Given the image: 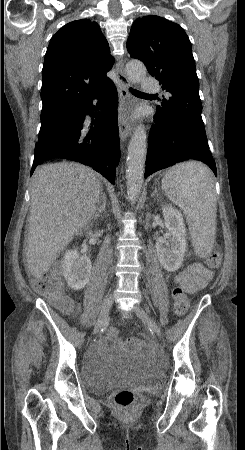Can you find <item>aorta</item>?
<instances>
[{
    "instance_id": "1",
    "label": "aorta",
    "mask_w": 245,
    "mask_h": 450,
    "mask_svg": "<svg viewBox=\"0 0 245 450\" xmlns=\"http://www.w3.org/2000/svg\"><path fill=\"white\" fill-rule=\"evenodd\" d=\"M145 65L136 60L126 64V75L132 83H139L146 76ZM147 135L143 125H139L132 136L128 149L126 170L127 196L131 203H135L141 193L144 166L147 154Z\"/></svg>"
}]
</instances>
